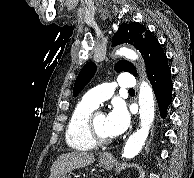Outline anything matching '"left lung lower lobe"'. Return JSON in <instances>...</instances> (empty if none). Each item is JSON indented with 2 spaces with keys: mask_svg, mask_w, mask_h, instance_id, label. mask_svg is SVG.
<instances>
[{
  "mask_svg": "<svg viewBox=\"0 0 194 178\" xmlns=\"http://www.w3.org/2000/svg\"><path fill=\"white\" fill-rule=\"evenodd\" d=\"M148 79L154 89L161 117L166 116V110L172 101L173 84L171 70L168 66L166 55L148 73Z\"/></svg>",
  "mask_w": 194,
  "mask_h": 178,
  "instance_id": "obj_1",
  "label": "left lung lower lobe"
}]
</instances>
